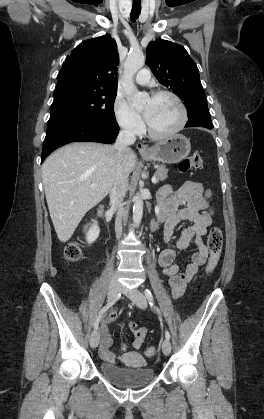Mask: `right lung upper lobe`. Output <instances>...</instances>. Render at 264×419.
Wrapping results in <instances>:
<instances>
[{"label":"right lung upper lobe","instance_id":"1","mask_svg":"<svg viewBox=\"0 0 264 419\" xmlns=\"http://www.w3.org/2000/svg\"><path fill=\"white\" fill-rule=\"evenodd\" d=\"M117 44L108 34L81 42L66 58L56 88L79 84L95 90L117 91Z\"/></svg>","mask_w":264,"mask_h":419}]
</instances>
